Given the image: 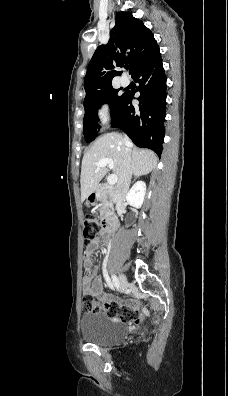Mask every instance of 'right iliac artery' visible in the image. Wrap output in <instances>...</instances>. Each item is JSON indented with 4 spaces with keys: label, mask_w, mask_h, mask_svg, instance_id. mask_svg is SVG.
<instances>
[{
    "label": "right iliac artery",
    "mask_w": 228,
    "mask_h": 396,
    "mask_svg": "<svg viewBox=\"0 0 228 396\" xmlns=\"http://www.w3.org/2000/svg\"><path fill=\"white\" fill-rule=\"evenodd\" d=\"M108 285H109L110 288H113V285H114L115 287H119V280H118V278L116 277V275H112V283H111L110 280H108Z\"/></svg>",
    "instance_id": "right-iliac-artery-1"
}]
</instances>
